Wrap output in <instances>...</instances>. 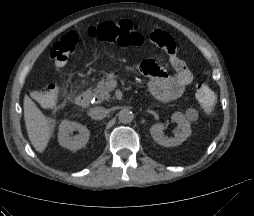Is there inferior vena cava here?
<instances>
[{
    "label": "inferior vena cava",
    "mask_w": 254,
    "mask_h": 216,
    "mask_svg": "<svg viewBox=\"0 0 254 216\" xmlns=\"http://www.w3.org/2000/svg\"><path fill=\"white\" fill-rule=\"evenodd\" d=\"M90 116L95 120H102L108 114V110L103 107H95L90 110Z\"/></svg>",
    "instance_id": "obj_1"
}]
</instances>
